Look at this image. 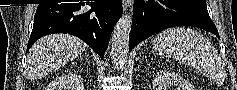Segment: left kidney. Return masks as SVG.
Masks as SVG:
<instances>
[{
  "label": "left kidney",
  "mask_w": 237,
  "mask_h": 90,
  "mask_svg": "<svg viewBox=\"0 0 237 90\" xmlns=\"http://www.w3.org/2000/svg\"><path fill=\"white\" fill-rule=\"evenodd\" d=\"M153 90H193L192 84L188 80H184L178 74L171 72H157L152 80Z\"/></svg>",
  "instance_id": "5707ae66"
}]
</instances>
